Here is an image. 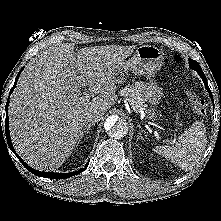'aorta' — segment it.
<instances>
[{
  "label": "aorta",
  "mask_w": 221,
  "mask_h": 221,
  "mask_svg": "<svg viewBox=\"0 0 221 221\" xmlns=\"http://www.w3.org/2000/svg\"><path fill=\"white\" fill-rule=\"evenodd\" d=\"M104 128L109 136L119 139L126 136L129 130V125L127 121L121 117L112 115L106 119Z\"/></svg>",
  "instance_id": "762f6f07"
}]
</instances>
